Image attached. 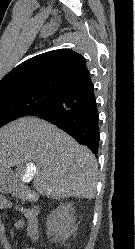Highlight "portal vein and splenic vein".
<instances>
[{
	"instance_id": "18ae733b",
	"label": "portal vein and splenic vein",
	"mask_w": 135,
	"mask_h": 249,
	"mask_svg": "<svg viewBox=\"0 0 135 249\" xmlns=\"http://www.w3.org/2000/svg\"><path fill=\"white\" fill-rule=\"evenodd\" d=\"M36 172V167L34 164H27V168H26V173H28L27 177H31L34 176Z\"/></svg>"
}]
</instances>
